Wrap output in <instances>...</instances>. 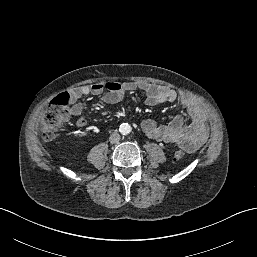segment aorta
<instances>
[{
	"label": "aorta",
	"instance_id": "1",
	"mask_svg": "<svg viewBox=\"0 0 257 257\" xmlns=\"http://www.w3.org/2000/svg\"><path fill=\"white\" fill-rule=\"evenodd\" d=\"M132 128L128 123H123L120 125L119 131L123 134V135H127L131 132Z\"/></svg>",
	"mask_w": 257,
	"mask_h": 257
}]
</instances>
